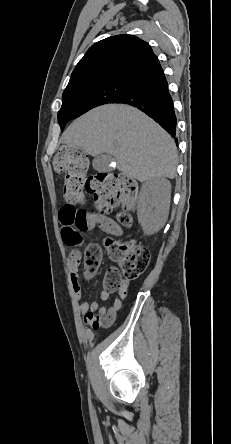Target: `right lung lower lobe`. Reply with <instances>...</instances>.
Segmentation results:
<instances>
[{
  "instance_id": "1",
  "label": "right lung lower lobe",
  "mask_w": 231,
  "mask_h": 444,
  "mask_svg": "<svg viewBox=\"0 0 231 444\" xmlns=\"http://www.w3.org/2000/svg\"><path fill=\"white\" fill-rule=\"evenodd\" d=\"M115 103L137 107L175 138L177 119L164 73L139 82Z\"/></svg>"
}]
</instances>
